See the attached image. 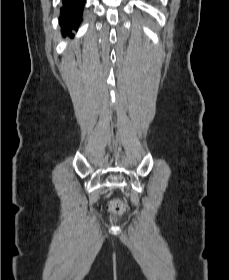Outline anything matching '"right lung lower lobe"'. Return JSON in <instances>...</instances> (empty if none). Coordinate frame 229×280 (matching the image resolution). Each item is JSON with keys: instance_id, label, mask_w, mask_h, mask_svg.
Segmentation results:
<instances>
[{"instance_id": "obj_1", "label": "right lung lower lobe", "mask_w": 229, "mask_h": 280, "mask_svg": "<svg viewBox=\"0 0 229 280\" xmlns=\"http://www.w3.org/2000/svg\"><path fill=\"white\" fill-rule=\"evenodd\" d=\"M63 7L60 11V25L64 36L74 37L71 30H77L81 22L82 10L85 0H62Z\"/></svg>"}]
</instances>
